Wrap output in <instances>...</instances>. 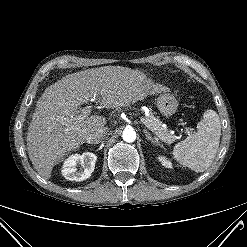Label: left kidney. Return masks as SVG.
<instances>
[{
  "label": "left kidney",
  "instance_id": "left-kidney-1",
  "mask_svg": "<svg viewBox=\"0 0 247 247\" xmlns=\"http://www.w3.org/2000/svg\"><path fill=\"white\" fill-rule=\"evenodd\" d=\"M159 161L162 162L163 166L167 167V168H171L172 165H171V162L164 159L163 157H158Z\"/></svg>",
  "mask_w": 247,
  "mask_h": 247
}]
</instances>
